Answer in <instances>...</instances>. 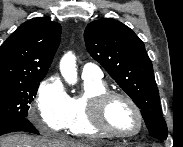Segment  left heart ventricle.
<instances>
[{"label":"left heart ventricle","mask_w":183,"mask_h":147,"mask_svg":"<svg viewBox=\"0 0 183 147\" xmlns=\"http://www.w3.org/2000/svg\"><path fill=\"white\" fill-rule=\"evenodd\" d=\"M106 118L109 125L121 133H134L139 128V121L133 108L121 98L109 102Z\"/></svg>","instance_id":"left-heart-ventricle-1"}]
</instances>
